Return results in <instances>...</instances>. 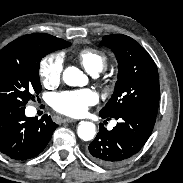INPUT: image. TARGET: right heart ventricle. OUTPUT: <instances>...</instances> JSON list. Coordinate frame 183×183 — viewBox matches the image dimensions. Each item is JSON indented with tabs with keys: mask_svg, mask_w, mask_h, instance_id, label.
<instances>
[{
	"mask_svg": "<svg viewBox=\"0 0 183 183\" xmlns=\"http://www.w3.org/2000/svg\"><path fill=\"white\" fill-rule=\"evenodd\" d=\"M78 60L90 74H98L107 65L106 54L97 49H82L78 53Z\"/></svg>",
	"mask_w": 183,
	"mask_h": 183,
	"instance_id": "1",
	"label": "right heart ventricle"
}]
</instances>
